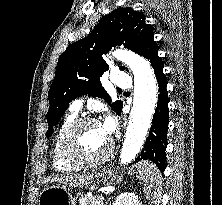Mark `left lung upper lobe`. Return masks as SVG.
I'll return each mask as SVG.
<instances>
[{
	"label": "left lung upper lobe",
	"mask_w": 222,
	"mask_h": 205,
	"mask_svg": "<svg viewBox=\"0 0 222 205\" xmlns=\"http://www.w3.org/2000/svg\"><path fill=\"white\" fill-rule=\"evenodd\" d=\"M151 35L153 30L145 23L144 14L126 7L104 16L87 37L71 44L59 57L55 78L48 92L50 108L46 115L49 124L46 136H51L53 127L76 97L88 94L111 104L99 79L108 69L102 54L117 45H124L140 54ZM120 69L128 71L124 66ZM122 105V101L118 100L112 104V109L119 114Z\"/></svg>",
	"instance_id": "obj_1"
}]
</instances>
